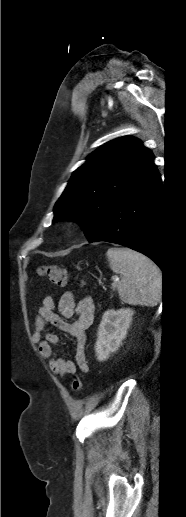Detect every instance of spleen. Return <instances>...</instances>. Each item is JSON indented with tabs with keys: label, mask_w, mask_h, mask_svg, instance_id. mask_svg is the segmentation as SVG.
Instances as JSON below:
<instances>
[{
	"label": "spleen",
	"mask_w": 186,
	"mask_h": 517,
	"mask_svg": "<svg viewBox=\"0 0 186 517\" xmlns=\"http://www.w3.org/2000/svg\"><path fill=\"white\" fill-rule=\"evenodd\" d=\"M106 255L112 271L122 276L117 289L124 303L155 306L160 302L162 273L149 258L127 248H109Z\"/></svg>",
	"instance_id": "1"
}]
</instances>
